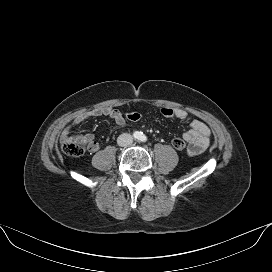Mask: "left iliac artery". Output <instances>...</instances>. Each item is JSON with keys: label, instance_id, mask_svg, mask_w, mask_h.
Wrapping results in <instances>:
<instances>
[{"label": "left iliac artery", "instance_id": "1", "mask_svg": "<svg viewBox=\"0 0 272 272\" xmlns=\"http://www.w3.org/2000/svg\"><path fill=\"white\" fill-rule=\"evenodd\" d=\"M140 140L142 141V142H146L147 141V137L145 136V135H141L140 136Z\"/></svg>", "mask_w": 272, "mask_h": 272}]
</instances>
